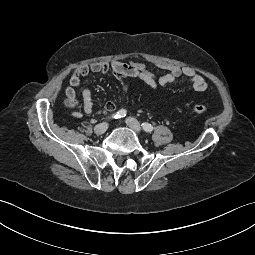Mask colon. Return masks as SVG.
<instances>
[{
    "label": "colon",
    "mask_w": 255,
    "mask_h": 255,
    "mask_svg": "<svg viewBox=\"0 0 255 255\" xmlns=\"http://www.w3.org/2000/svg\"><path fill=\"white\" fill-rule=\"evenodd\" d=\"M77 105L75 98H67L66 106L68 108H74ZM193 111L197 114H205L208 112V107L203 103H196L192 107Z\"/></svg>",
    "instance_id": "obj_1"
}]
</instances>
